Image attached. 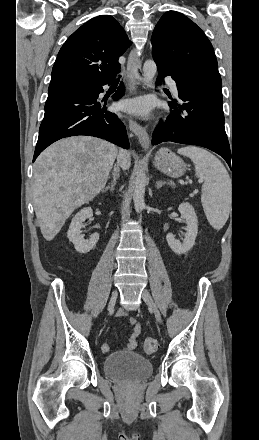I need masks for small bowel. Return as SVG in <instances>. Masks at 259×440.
I'll return each mask as SVG.
<instances>
[{"label":"small bowel","instance_id":"obj_1","mask_svg":"<svg viewBox=\"0 0 259 440\" xmlns=\"http://www.w3.org/2000/svg\"><path fill=\"white\" fill-rule=\"evenodd\" d=\"M125 315H126L125 312L123 310H120L117 314V318H123ZM128 323H129V325L133 326V333H132L131 338L127 344V349L130 350L136 346V338L141 331V325L136 318H130L128 320ZM102 350L107 351L108 346L106 344H103Z\"/></svg>","mask_w":259,"mask_h":440}]
</instances>
